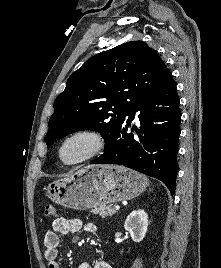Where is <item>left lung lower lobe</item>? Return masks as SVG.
<instances>
[{
    "mask_svg": "<svg viewBox=\"0 0 221 268\" xmlns=\"http://www.w3.org/2000/svg\"><path fill=\"white\" fill-rule=\"evenodd\" d=\"M136 112L140 129L131 123ZM180 120L179 97L172 78L126 113L119 130L105 142L104 154L90 163L124 165L161 180L174 194ZM131 126L137 134L127 132Z\"/></svg>",
    "mask_w": 221,
    "mask_h": 268,
    "instance_id": "0a47b994",
    "label": "left lung lower lobe"
}]
</instances>
